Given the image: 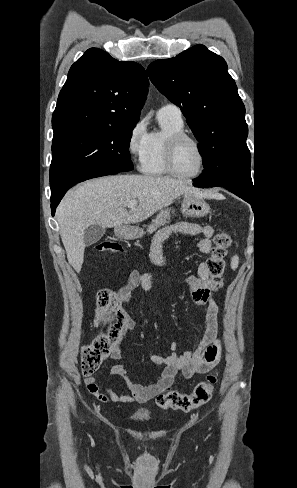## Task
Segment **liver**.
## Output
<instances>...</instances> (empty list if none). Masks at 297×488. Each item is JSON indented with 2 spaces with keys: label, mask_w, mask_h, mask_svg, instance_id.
<instances>
[{
  "label": "liver",
  "mask_w": 297,
  "mask_h": 488,
  "mask_svg": "<svg viewBox=\"0 0 297 488\" xmlns=\"http://www.w3.org/2000/svg\"><path fill=\"white\" fill-rule=\"evenodd\" d=\"M183 194L201 198L207 195L171 177L129 174L93 179L68 191L56 216L69 264L76 272L81 271L86 246L84 232L89 226L98 224L116 230L123 224L141 222ZM132 200L139 204L128 211Z\"/></svg>",
  "instance_id": "1"
}]
</instances>
